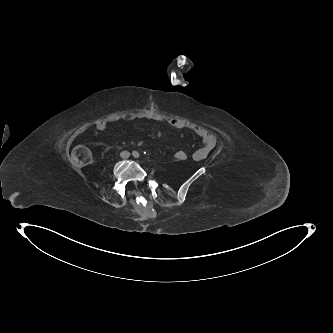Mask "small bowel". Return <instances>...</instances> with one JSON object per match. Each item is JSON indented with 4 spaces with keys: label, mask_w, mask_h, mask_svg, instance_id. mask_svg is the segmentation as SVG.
Instances as JSON below:
<instances>
[{
    "label": "small bowel",
    "mask_w": 333,
    "mask_h": 333,
    "mask_svg": "<svg viewBox=\"0 0 333 333\" xmlns=\"http://www.w3.org/2000/svg\"><path fill=\"white\" fill-rule=\"evenodd\" d=\"M128 120H130V121L153 120L156 122H167L168 124H170L172 127L176 128V129L191 130L198 137L201 138L202 143H203V145L192 154V158L195 161L205 160L216 145V137L212 132H210L208 129H206L205 127H203L201 125L189 122L184 119L166 120L164 117H162L160 115L136 114V115L130 116L128 118ZM108 125H109L108 121H105V120L97 121L95 124V132H104L108 128ZM183 152L185 154H187L185 151H183ZM187 156H188V154H187Z\"/></svg>",
    "instance_id": "obj_1"
}]
</instances>
